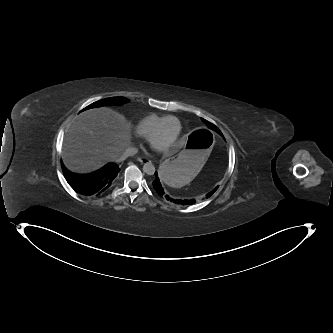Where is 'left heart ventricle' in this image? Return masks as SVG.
<instances>
[{"label": "left heart ventricle", "instance_id": "obj_1", "mask_svg": "<svg viewBox=\"0 0 333 333\" xmlns=\"http://www.w3.org/2000/svg\"><path fill=\"white\" fill-rule=\"evenodd\" d=\"M178 125L174 119L168 120L160 134L157 136L154 145L157 147L163 148L173 141L177 135Z\"/></svg>", "mask_w": 333, "mask_h": 333}]
</instances>
